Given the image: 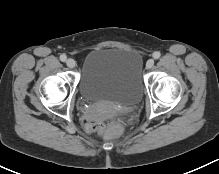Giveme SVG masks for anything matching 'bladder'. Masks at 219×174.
I'll list each match as a JSON object with an SVG mask.
<instances>
[{"instance_id": "bladder-1", "label": "bladder", "mask_w": 219, "mask_h": 174, "mask_svg": "<svg viewBox=\"0 0 219 174\" xmlns=\"http://www.w3.org/2000/svg\"><path fill=\"white\" fill-rule=\"evenodd\" d=\"M143 89L142 59L136 50L97 48L85 55L78 83L85 101L131 107L140 102Z\"/></svg>"}]
</instances>
